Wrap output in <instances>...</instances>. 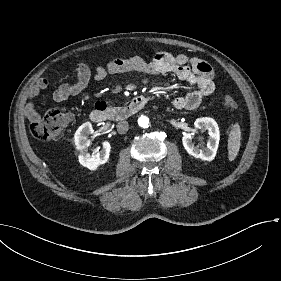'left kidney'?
Instances as JSON below:
<instances>
[{
  "label": "left kidney",
  "instance_id": "obj_1",
  "mask_svg": "<svg viewBox=\"0 0 281 281\" xmlns=\"http://www.w3.org/2000/svg\"><path fill=\"white\" fill-rule=\"evenodd\" d=\"M194 126L197 129L208 130L209 138L207 145L204 148L195 146L192 142V135L190 133H186L182 138L185 150L196 158H200L205 161H212L216 156L220 139L218 124L213 118L202 117L195 120Z\"/></svg>",
  "mask_w": 281,
  "mask_h": 281
}]
</instances>
